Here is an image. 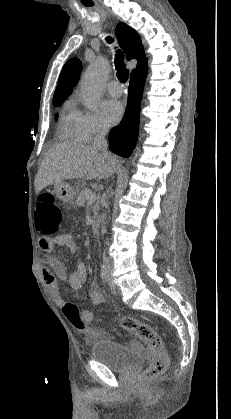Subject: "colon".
Masks as SVG:
<instances>
[{"mask_svg":"<svg viewBox=\"0 0 231 419\" xmlns=\"http://www.w3.org/2000/svg\"><path fill=\"white\" fill-rule=\"evenodd\" d=\"M62 219V211L55 196L51 193L40 194L35 213L37 231L44 236H51L58 232ZM62 310L76 330L85 333L88 339L94 338L95 332L88 328L84 316L76 304L66 303ZM117 322L122 329L136 335L152 352L151 363L140 379L141 385L147 386L155 377L164 373L168 366L169 357L164 349L163 341L151 325L132 316H121Z\"/></svg>","mask_w":231,"mask_h":419,"instance_id":"colon-1","label":"colon"}]
</instances>
